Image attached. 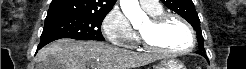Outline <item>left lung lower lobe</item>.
I'll list each match as a JSON object with an SVG mask.
<instances>
[{"mask_svg": "<svg viewBox=\"0 0 246 69\" xmlns=\"http://www.w3.org/2000/svg\"><path fill=\"white\" fill-rule=\"evenodd\" d=\"M198 53H199L200 55H202V56L206 57V56H205V54H203V53H201V52H198Z\"/></svg>", "mask_w": 246, "mask_h": 69, "instance_id": "left-lung-lower-lobe-1", "label": "left lung lower lobe"}]
</instances>
